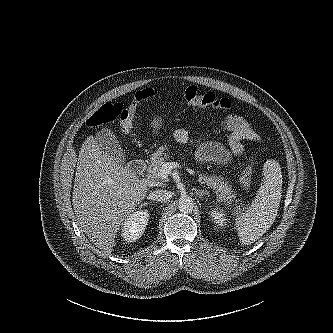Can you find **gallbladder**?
Instances as JSON below:
<instances>
[{
    "instance_id": "obj_1",
    "label": "gallbladder",
    "mask_w": 333,
    "mask_h": 333,
    "mask_svg": "<svg viewBox=\"0 0 333 333\" xmlns=\"http://www.w3.org/2000/svg\"><path fill=\"white\" fill-rule=\"evenodd\" d=\"M96 142L101 149L120 163L126 162V154L121 148L111 129L103 128L96 135Z\"/></svg>"
}]
</instances>
